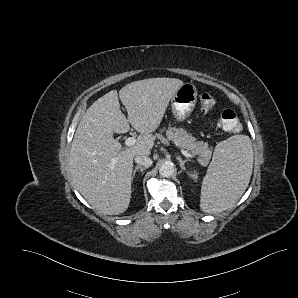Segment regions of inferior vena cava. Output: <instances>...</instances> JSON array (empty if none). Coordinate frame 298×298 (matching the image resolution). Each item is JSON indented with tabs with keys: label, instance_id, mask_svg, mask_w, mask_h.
<instances>
[{
	"label": "inferior vena cava",
	"instance_id": "1",
	"mask_svg": "<svg viewBox=\"0 0 298 298\" xmlns=\"http://www.w3.org/2000/svg\"><path fill=\"white\" fill-rule=\"evenodd\" d=\"M135 162L139 165H142L144 167H151L152 164H153V161L151 158H149L148 156H145V155H137L135 158H134Z\"/></svg>",
	"mask_w": 298,
	"mask_h": 298
}]
</instances>
